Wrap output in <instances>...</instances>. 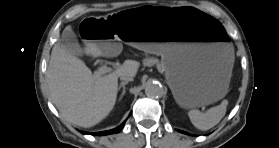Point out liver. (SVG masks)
<instances>
[{"instance_id":"liver-1","label":"liver","mask_w":279,"mask_h":148,"mask_svg":"<svg viewBox=\"0 0 279 148\" xmlns=\"http://www.w3.org/2000/svg\"><path fill=\"white\" fill-rule=\"evenodd\" d=\"M85 53L93 57L103 54L93 43L86 45ZM139 66L137 61L126 60L110 74H92L82 60L56 43L47 69L51 101L66 121L84 128L92 127L114 108L118 78L135 77Z\"/></svg>"}]
</instances>
